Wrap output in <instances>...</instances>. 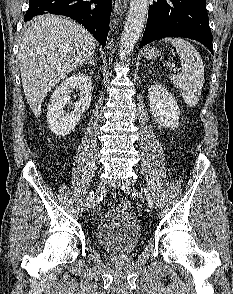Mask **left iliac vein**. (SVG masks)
Segmentation results:
<instances>
[{
    "mask_svg": "<svg viewBox=\"0 0 233 294\" xmlns=\"http://www.w3.org/2000/svg\"><path fill=\"white\" fill-rule=\"evenodd\" d=\"M121 189L124 191V192H130L132 189L131 187L128 185V184H123L121 186ZM134 193L136 194V198H139V201L140 202H145L146 201V198L143 197V193L142 191H140V189L138 188H134L133 189Z\"/></svg>",
    "mask_w": 233,
    "mask_h": 294,
    "instance_id": "obj_1",
    "label": "left iliac vein"
}]
</instances>
